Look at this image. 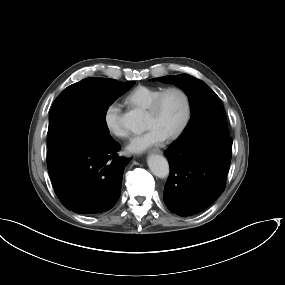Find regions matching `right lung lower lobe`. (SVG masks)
I'll return each mask as SVG.
<instances>
[{"label": "right lung lower lobe", "mask_w": 285, "mask_h": 285, "mask_svg": "<svg viewBox=\"0 0 285 285\" xmlns=\"http://www.w3.org/2000/svg\"><path fill=\"white\" fill-rule=\"evenodd\" d=\"M110 135L75 134L48 150L47 167L61 203L79 214L111 209L121 193L129 159Z\"/></svg>", "instance_id": "obj_1"}]
</instances>
